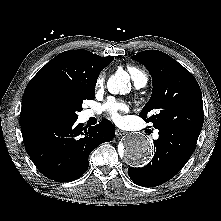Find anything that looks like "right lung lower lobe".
<instances>
[{
	"label": "right lung lower lobe",
	"mask_w": 221,
	"mask_h": 221,
	"mask_svg": "<svg viewBox=\"0 0 221 221\" xmlns=\"http://www.w3.org/2000/svg\"><path fill=\"white\" fill-rule=\"evenodd\" d=\"M76 120L37 119L21 126L26 152L51 180L70 182L83 175L91 151L115 136L109 120L89 128Z\"/></svg>",
	"instance_id": "right-lung-lower-lobe-1"
}]
</instances>
